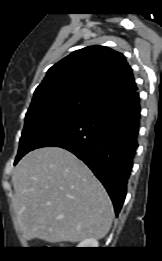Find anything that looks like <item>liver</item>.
Returning <instances> with one entry per match:
<instances>
[{"instance_id":"liver-1","label":"liver","mask_w":162,"mask_h":261,"mask_svg":"<svg viewBox=\"0 0 162 261\" xmlns=\"http://www.w3.org/2000/svg\"><path fill=\"white\" fill-rule=\"evenodd\" d=\"M14 210L24 239L77 243L102 239L113 220V206L102 184L74 154L45 147L17 164Z\"/></svg>"}]
</instances>
